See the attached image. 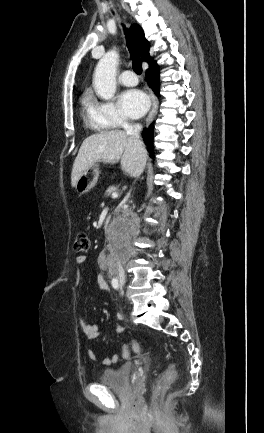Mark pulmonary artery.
Wrapping results in <instances>:
<instances>
[{
	"label": "pulmonary artery",
	"instance_id": "1",
	"mask_svg": "<svg viewBox=\"0 0 264 433\" xmlns=\"http://www.w3.org/2000/svg\"><path fill=\"white\" fill-rule=\"evenodd\" d=\"M119 82L124 86H135L138 80L132 70H124L119 77Z\"/></svg>",
	"mask_w": 264,
	"mask_h": 433
}]
</instances>
